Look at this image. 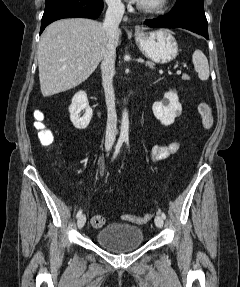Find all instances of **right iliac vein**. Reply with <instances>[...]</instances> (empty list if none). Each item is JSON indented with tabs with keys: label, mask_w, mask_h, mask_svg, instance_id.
<instances>
[{
	"label": "right iliac vein",
	"mask_w": 240,
	"mask_h": 287,
	"mask_svg": "<svg viewBox=\"0 0 240 287\" xmlns=\"http://www.w3.org/2000/svg\"><path fill=\"white\" fill-rule=\"evenodd\" d=\"M85 222H86V216L85 215H81L79 218H78V221H77V226L79 229L83 228L84 225H85Z\"/></svg>",
	"instance_id": "1"
}]
</instances>
